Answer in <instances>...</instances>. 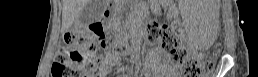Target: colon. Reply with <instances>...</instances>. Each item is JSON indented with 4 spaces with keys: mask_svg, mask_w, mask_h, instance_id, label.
I'll list each match as a JSON object with an SVG mask.
<instances>
[{
    "mask_svg": "<svg viewBox=\"0 0 258 77\" xmlns=\"http://www.w3.org/2000/svg\"><path fill=\"white\" fill-rule=\"evenodd\" d=\"M100 25L93 34L68 32L52 64V77H89L99 66L100 49L119 50ZM149 42L159 44L171 63L180 68L185 77H204L213 69V62L200 60L182 45L179 35L165 24L149 23L146 29Z\"/></svg>",
    "mask_w": 258,
    "mask_h": 77,
    "instance_id": "colon-1",
    "label": "colon"
}]
</instances>
